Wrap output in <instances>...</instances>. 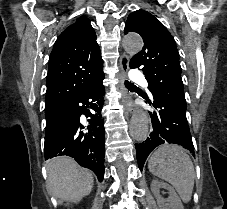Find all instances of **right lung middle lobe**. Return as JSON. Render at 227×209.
Instances as JSON below:
<instances>
[{
    "label": "right lung middle lobe",
    "mask_w": 227,
    "mask_h": 209,
    "mask_svg": "<svg viewBox=\"0 0 227 209\" xmlns=\"http://www.w3.org/2000/svg\"><path fill=\"white\" fill-rule=\"evenodd\" d=\"M57 106L56 107H50V108H45V116H46V120L49 119L54 112L57 110Z\"/></svg>",
    "instance_id": "right-lung-middle-lobe-1"
}]
</instances>
